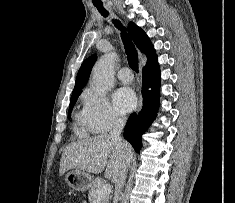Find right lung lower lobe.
Wrapping results in <instances>:
<instances>
[{
  "instance_id": "right-lung-lower-lobe-1",
  "label": "right lung lower lobe",
  "mask_w": 235,
  "mask_h": 203,
  "mask_svg": "<svg viewBox=\"0 0 235 203\" xmlns=\"http://www.w3.org/2000/svg\"><path fill=\"white\" fill-rule=\"evenodd\" d=\"M142 73L143 108L138 115L135 113L130 115L124 129V138L137 152L141 147V136L155 118L158 110L160 69L157 56L146 63Z\"/></svg>"
}]
</instances>
